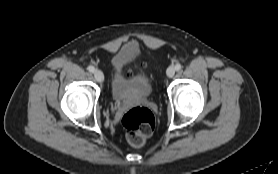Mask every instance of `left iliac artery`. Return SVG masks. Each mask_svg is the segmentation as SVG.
Returning <instances> with one entry per match:
<instances>
[{"label":"left iliac artery","instance_id":"1","mask_svg":"<svg viewBox=\"0 0 278 174\" xmlns=\"http://www.w3.org/2000/svg\"><path fill=\"white\" fill-rule=\"evenodd\" d=\"M181 68H182L181 64L177 63V64L175 65V70H176V71L181 70Z\"/></svg>","mask_w":278,"mask_h":174}]
</instances>
